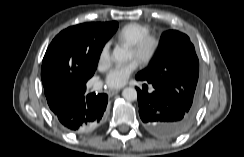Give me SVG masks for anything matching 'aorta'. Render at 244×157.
Returning <instances> with one entry per match:
<instances>
[{
  "label": "aorta",
  "instance_id": "762f6f07",
  "mask_svg": "<svg viewBox=\"0 0 244 157\" xmlns=\"http://www.w3.org/2000/svg\"><path fill=\"white\" fill-rule=\"evenodd\" d=\"M112 58L117 62H125L129 59V52L123 47L116 46L113 50ZM122 96L127 101H135L137 99V91L133 87H127L123 90Z\"/></svg>",
  "mask_w": 244,
  "mask_h": 157
}]
</instances>
